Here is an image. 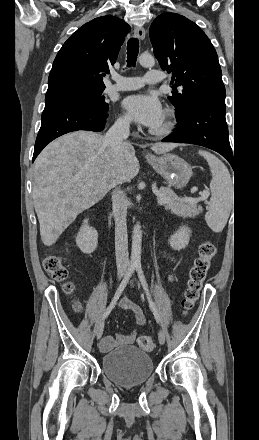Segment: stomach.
Listing matches in <instances>:
<instances>
[{"instance_id":"obj_1","label":"stomach","mask_w":259,"mask_h":440,"mask_svg":"<svg viewBox=\"0 0 259 440\" xmlns=\"http://www.w3.org/2000/svg\"><path fill=\"white\" fill-rule=\"evenodd\" d=\"M147 161L170 186L175 188L185 187L192 176L191 166L175 154L165 153L160 157L151 156L147 157Z\"/></svg>"}]
</instances>
